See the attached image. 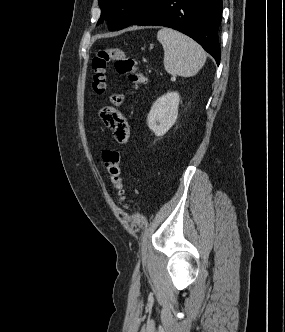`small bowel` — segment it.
I'll return each mask as SVG.
<instances>
[{
    "label": "small bowel",
    "mask_w": 285,
    "mask_h": 332,
    "mask_svg": "<svg viewBox=\"0 0 285 332\" xmlns=\"http://www.w3.org/2000/svg\"><path fill=\"white\" fill-rule=\"evenodd\" d=\"M121 95H115L113 100L116 104H120L122 102ZM100 117L103 124L112 130L113 137L119 144H125L130 135L129 124L121 113V111L116 107H105L100 112Z\"/></svg>",
    "instance_id": "small-bowel-1"
}]
</instances>
